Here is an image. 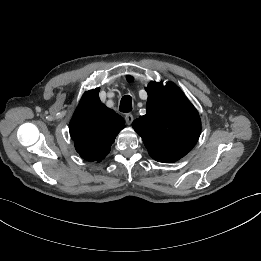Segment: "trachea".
I'll use <instances>...</instances> for the list:
<instances>
[{
	"label": "trachea",
	"mask_w": 261,
	"mask_h": 261,
	"mask_svg": "<svg viewBox=\"0 0 261 261\" xmlns=\"http://www.w3.org/2000/svg\"><path fill=\"white\" fill-rule=\"evenodd\" d=\"M119 110L123 113H129L132 111V99L129 95L122 97Z\"/></svg>",
	"instance_id": "trachea-1"
}]
</instances>
